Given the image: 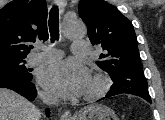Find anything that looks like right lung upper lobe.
Instances as JSON below:
<instances>
[{"mask_svg": "<svg viewBox=\"0 0 165 120\" xmlns=\"http://www.w3.org/2000/svg\"><path fill=\"white\" fill-rule=\"evenodd\" d=\"M45 0H13L0 10V61L24 59L30 43L47 40Z\"/></svg>", "mask_w": 165, "mask_h": 120, "instance_id": "cb5924a9", "label": "right lung upper lobe"}]
</instances>
